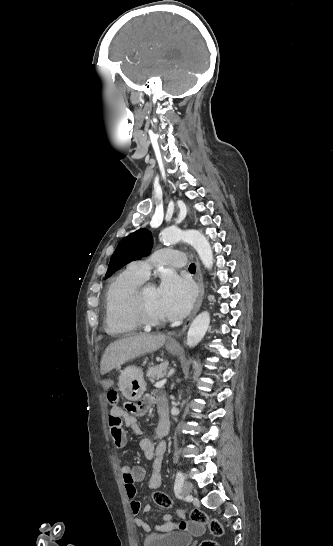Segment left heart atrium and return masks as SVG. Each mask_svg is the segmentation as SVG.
<instances>
[{"instance_id": "left-heart-atrium-1", "label": "left heart atrium", "mask_w": 333, "mask_h": 546, "mask_svg": "<svg viewBox=\"0 0 333 546\" xmlns=\"http://www.w3.org/2000/svg\"><path fill=\"white\" fill-rule=\"evenodd\" d=\"M157 293L161 312L167 319L184 317L191 309L195 295L190 282L171 271L163 274Z\"/></svg>"}]
</instances>
